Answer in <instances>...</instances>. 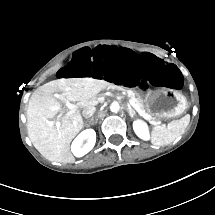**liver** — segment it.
I'll list each match as a JSON object with an SVG mask.
<instances>
[{
  "instance_id": "obj_1",
  "label": "liver",
  "mask_w": 215,
  "mask_h": 215,
  "mask_svg": "<svg viewBox=\"0 0 215 215\" xmlns=\"http://www.w3.org/2000/svg\"><path fill=\"white\" fill-rule=\"evenodd\" d=\"M109 87V82L86 77L62 78L37 88L27 109L28 137L34 147L50 161L74 163L70 143L84 125L80 110L97 105L98 93ZM54 92H60L64 101L77 102L75 109L72 112L62 109ZM57 114L59 120L55 121ZM57 122L60 126H56Z\"/></svg>"
}]
</instances>
